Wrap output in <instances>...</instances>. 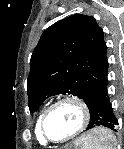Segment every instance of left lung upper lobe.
Instances as JSON below:
<instances>
[{
	"label": "left lung upper lobe",
	"mask_w": 124,
	"mask_h": 149,
	"mask_svg": "<svg viewBox=\"0 0 124 149\" xmlns=\"http://www.w3.org/2000/svg\"><path fill=\"white\" fill-rule=\"evenodd\" d=\"M106 50L103 30L91 16L75 14L47 28L30 60V112L57 94H72L85 101L107 80Z\"/></svg>",
	"instance_id": "left-lung-upper-lobe-1"
}]
</instances>
